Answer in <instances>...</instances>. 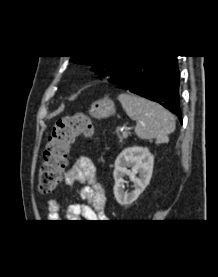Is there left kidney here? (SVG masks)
Instances as JSON below:
<instances>
[{"label": "left kidney", "mask_w": 218, "mask_h": 277, "mask_svg": "<svg viewBox=\"0 0 218 277\" xmlns=\"http://www.w3.org/2000/svg\"><path fill=\"white\" fill-rule=\"evenodd\" d=\"M153 164L154 156L148 148L128 147L119 154L113 172L115 180L113 191L119 204L129 205L133 203L145 190L152 177ZM127 167H131V170ZM137 174H139V177H136ZM124 176H129L133 182L134 190L132 192L123 190Z\"/></svg>", "instance_id": "obj_1"}]
</instances>
